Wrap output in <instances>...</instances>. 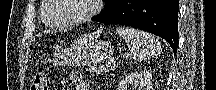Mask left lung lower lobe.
I'll list each match as a JSON object with an SVG mask.
<instances>
[{"mask_svg": "<svg viewBox=\"0 0 216 90\" xmlns=\"http://www.w3.org/2000/svg\"><path fill=\"white\" fill-rule=\"evenodd\" d=\"M178 0H120L110 10L92 18L106 24L142 29L165 39L174 53L178 48Z\"/></svg>", "mask_w": 216, "mask_h": 90, "instance_id": "1", "label": "left lung lower lobe"}]
</instances>
